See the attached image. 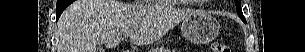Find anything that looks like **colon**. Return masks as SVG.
<instances>
[{
    "label": "colon",
    "instance_id": "obj_1",
    "mask_svg": "<svg viewBox=\"0 0 305 52\" xmlns=\"http://www.w3.org/2000/svg\"><path fill=\"white\" fill-rule=\"evenodd\" d=\"M212 49L214 52H230V48L220 41L214 42L212 45Z\"/></svg>",
    "mask_w": 305,
    "mask_h": 52
}]
</instances>
